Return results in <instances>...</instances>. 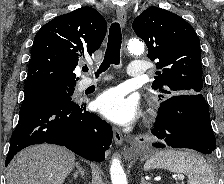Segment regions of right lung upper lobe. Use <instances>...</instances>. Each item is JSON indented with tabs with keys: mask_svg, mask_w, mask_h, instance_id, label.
<instances>
[{
	"mask_svg": "<svg viewBox=\"0 0 224 184\" xmlns=\"http://www.w3.org/2000/svg\"><path fill=\"white\" fill-rule=\"evenodd\" d=\"M107 23L91 7H82L46 23L34 38L25 85H75L78 60L92 55L106 35Z\"/></svg>",
	"mask_w": 224,
	"mask_h": 184,
	"instance_id": "1",
	"label": "right lung upper lobe"
}]
</instances>
